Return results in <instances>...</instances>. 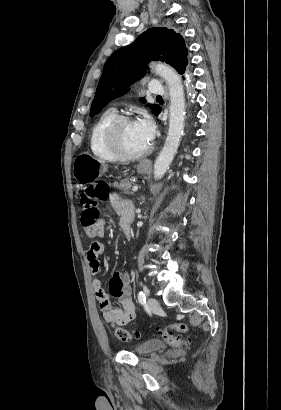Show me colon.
Masks as SVG:
<instances>
[{
	"instance_id": "obj_1",
	"label": "colon",
	"mask_w": 281,
	"mask_h": 410,
	"mask_svg": "<svg viewBox=\"0 0 281 410\" xmlns=\"http://www.w3.org/2000/svg\"><path fill=\"white\" fill-rule=\"evenodd\" d=\"M110 189L107 183L99 182L95 187L86 188L81 195L80 203L83 207L81 215V226L89 236L96 234V226L100 216L99 202L110 197ZM188 327L185 323L179 322L167 327L158 328L159 335L172 347H185L190 343V338L186 335ZM179 333V334H176ZM115 334L118 339L124 342L139 338V333H131L124 328H117Z\"/></svg>"
}]
</instances>
